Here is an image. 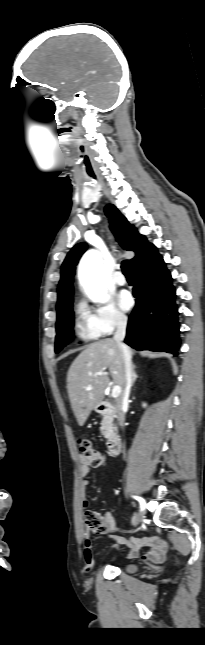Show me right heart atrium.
<instances>
[{
	"label": "right heart atrium",
	"mask_w": 205,
	"mask_h": 645,
	"mask_svg": "<svg viewBox=\"0 0 205 645\" xmlns=\"http://www.w3.org/2000/svg\"><path fill=\"white\" fill-rule=\"evenodd\" d=\"M82 308L87 313L90 329L98 336H108L128 324L127 315L113 302H104L92 309L85 305Z\"/></svg>",
	"instance_id": "d8ad5b80"
}]
</instances>
